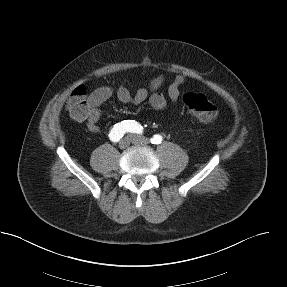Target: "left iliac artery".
<instances>
[{"mask_svg": "<svg viewBox=\"0 0 287 287\" xmlns=\"http://www.w3.org/2000/svg\"><path fill=\"white\" fill-rule=\"evenodd\" d=\"M132 121V120H130ZM139 131V125L137 124V122H135L134 124V132L133 133H138ZM162 142V136L161 135H154L151 138V143L152 144H160Z\"/></svg>", "mask_w": 287, "mask_h": 287, "instance_id": "1", "label": "left iliac artery"}]
</instances>
